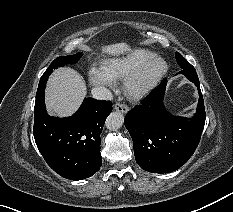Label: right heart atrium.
<instances>
[{"label":"right heart atrium","instance_id":"1","mask_svg":"<svg viewBox=\"0 0 233 212\" xmlns=\"http://www.w3.org/2000/svg\"><path fill=\"white\" fill-rule=\"evenodd\" d=\"M88 78L92 85L98 87H113L114 79L101 67H91Z\"/></svg>","mask_w":233,"mask_h":212}]
</instances>
